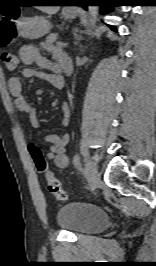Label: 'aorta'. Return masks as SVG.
I'll use <instances>...</instances> for the list:
<instances>
[{"instance_id": "aorta-1", "label": "aorta", "mask_w": 156, "mask_h": 266, "mask_svg": "<svg viewBox=\"0 0 156 266\" xmlns=\"http://www.w3.org/2000/svg\"><path fill=\"white\" fill-rule=\"evenodd\" d=\"M98 7L90 6L88 8L89 22L91 26H94L98 17Z\"/></svg>"}]
</instances>
